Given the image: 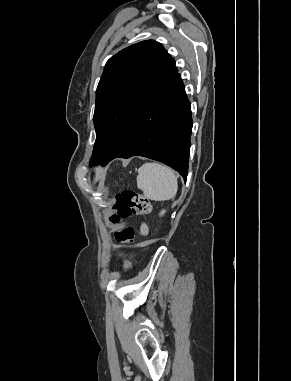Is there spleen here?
<instances>
[{
    "label": "spleen",
    "mask_w": 291,
    "mask_h": 381,
    "mask_svg": "<svg viewBox=\"0 0 291 381\" xmlns=\"http://www.w3.org/2000/svg\"><path fill=\"white\" fill-rule=\"evenodd\" d=\"M137 187L150 200H170L178 190L177 176L172 169L159 163H144L138 170Z\"/></svg>",
    "instance_id": "1"
}]
</instances>
